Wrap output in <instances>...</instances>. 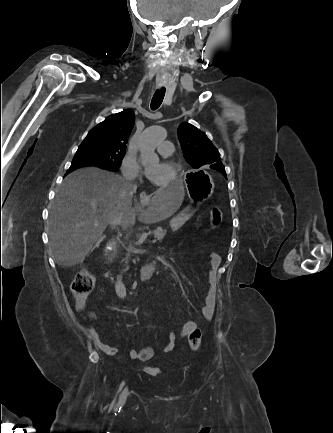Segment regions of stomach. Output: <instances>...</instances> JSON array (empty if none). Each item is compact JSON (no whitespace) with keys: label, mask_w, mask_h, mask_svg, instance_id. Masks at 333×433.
I'll return each instance as SVG.
<instances>
[{"label":"stomach","mask_w":333,"mask_h":433,"mask_svg":"<svg viewBox=\"0 0 333 433\" xmlns=\"http://www.w3.org/2000/svg\"><path fill=\"white\" fill-rule=\"evenodd\" d=\"M180 183H190L188 188L190 204L172 219V228L182 226L195 213L196 204L211 197L214 192L212 177L206 172H201L200 169H187L186 174H180ZM141 204L145 205L147 201L141 199Z\"/></svg>","instance_id":"stomach-1"}]
</instances>
